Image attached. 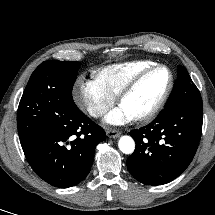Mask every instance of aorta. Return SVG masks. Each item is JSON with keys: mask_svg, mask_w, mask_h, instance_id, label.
<instances>
[{"mask_svg": "<svg viewBox=\"0 0 215 215\" xmlns=\"http://www.w3.org/2000/svg\"><path fill=\"white\" fill-rule=\"evenodd\" d=\"M119 149L125 154H131L135 149V142L130 136H122L118 142Z\"/></svg>", "mask_w": 215, "mask_h": 215, "instance_id": "762f6f07", "label": "aorta"}]
</instances>
